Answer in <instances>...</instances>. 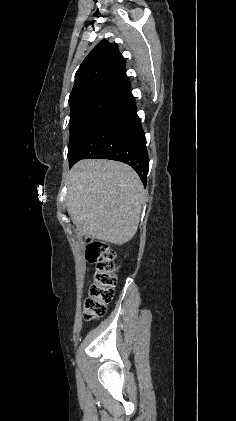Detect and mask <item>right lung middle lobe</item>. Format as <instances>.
Masks as SVG:
<instances>
[{
  "label": "right lung middle lobe",
  "mask_w": 236,
  "mask_h": 421,
  "mask_svg": "<svg viewBox=\"0 0 236 421\" xmlns=\"http://www.w3.org/2000/svg\"><path fill=\"white\" fill-rule=\"evenodd\" d=\"M129 95L126 88L112 85L70 97L69 161L81 142Z\"/></svg>",
  "instance_id": "dd1d6c3e"
}]
</instances>
